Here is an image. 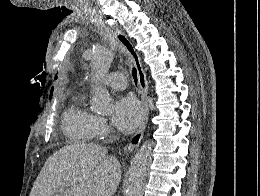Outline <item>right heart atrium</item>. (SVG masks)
I'll return each mask as SVG.
<instances>
[{"mask_svg":"<svg viewBox=\"0 0 260 196\" xmlns=\"http://www.w3.org/2000/svg\"><path fill=\"white\" fill-rule=\"evenodd\" d=\"M94 127L95 129L106 130L107 129L106 120L101 117H96L94 121ZM60 191L61 192H84L83 190H60Z\"/></svg>","mask_w":260,"mask_h":196,"instance_id":"right-heart-atrium-1","label":"right heart atrium"}]
</instances>
